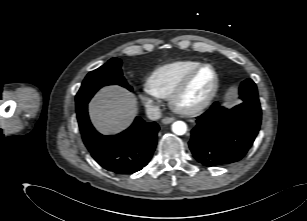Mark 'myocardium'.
<instances>
[{
  "label": "myocardium",
  "instance_id": "f54148a6",
  "mask_svg": "<svg viewBox=\"0 0 307 221\" xmlns=\"http://www.w3.org/2000/svg\"><path fill=\"white\" fill-rule=\"evenodd\" d=\"M206 68H210L213 73H214V85L211 90V92L208 94V96L199 102L196 105L189 106V107H184L181 105V100L189 90L190 86L196 79V77ZM220 86V77L217 69L211 65V64H202L195 70H193L181 83L180 85L176 88V90L171 94V96L168 98L169 99V105L171 109L182 115H195L197 113L202 112L205 110L215 99L218 90Z\"/></svg>",
  "mask_w": 307,
  "mask_h": 221
}]
</instances>
